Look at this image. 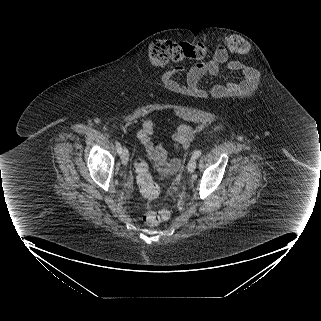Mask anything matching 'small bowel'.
I'll use <instances>...</instances> for the list:
<instances>
[{
  "mask_svg": "<svg viewBox=\"0 0 321 321\" xmlns=\"http://www.w3.org/2000/svg\"><path fill=\"white\" fill-rule=\"evenodd\" d=\"M239 68L244 70L245 77L237 82L225 84L223 86L216 85L212 89V95L216 99L240 95L251 87L255 86L259 81L258 74L251 68L243 66L235 61L230 60L225 48L219 45L211 60L199 63L191 67L186 72V77L183 82L176 79V75L185 71L184 67H177L169 70L164 74L166 85L176 91L184 90L187 95L194 96L197 100H203L207 96V91L197 84L199 79L204 75H214L222 69ZM155 132L154 122L151 119H146L139 130L137 137L143 145L147 156L154 162L163 175L176 173L181 167V161L178 158H168L166 149L161 145H156L152 137ZM194 136L193 129L185 124L176 128L173 133L172 140L176 148H187Z\"/></svg>",
  "mask_w": 321,
  "mask_h": 321,
  "instance_id": "1",
  "label": "small bowel"
}]
</instances>
